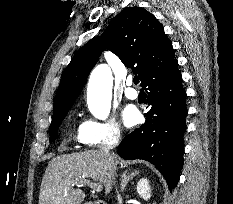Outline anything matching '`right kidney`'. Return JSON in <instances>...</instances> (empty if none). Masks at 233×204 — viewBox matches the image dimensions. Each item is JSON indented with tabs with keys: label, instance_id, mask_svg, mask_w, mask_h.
I'll list each match as a JSON object with an SVG mask.
<instances>
[{
	"label": "right kidney",
	"instance_id": "obj_1",
	"mask_svg": "<svg viewBox=\"0 0 233 204\" xmlns=\"http://www.w3.org/2000/svg\"><path fill=\"white\" fill-rule=\"evenodd\" d=\"M137 193L143 198L145 201H148L151 197V190L149 186V181L146 178H142L137 183Z\"/></svg>",
	"mask_w": 233,
	"mask_h": 204
}]
</instances>
